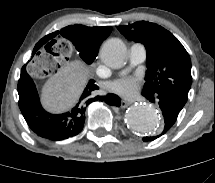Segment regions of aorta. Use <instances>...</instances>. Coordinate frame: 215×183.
Here are the masks:
<instances>
[{"label":"aorta","mask_w":215,"mask_h":183,"mask_svg":"<svg viewBox=\"0 0 215 183\" xmlns=\"http://www.w3.org/2000/svg\"><path fill=\"white\" fill-rule=\"evenodd\" d=\"M100 53L103 62L111 68H120L126 62L127 48L118 38L104 42ZM125 122L130 130L142 134H154L161 126L160 115L148 104H137L129 108Z\"/></svg>","instance_id":"762f6f07"}]
</instances>
